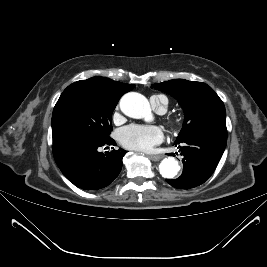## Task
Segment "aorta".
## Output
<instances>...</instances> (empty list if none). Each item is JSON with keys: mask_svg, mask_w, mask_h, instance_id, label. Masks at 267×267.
Instances as JSON below:
<instances>
[{"mask_svg": "<svg viewBox=\"0 0 267 267\" xmlns=\"http://www.w3.org/2000/svg\"><path fill=\"white\" fill-rule=\"evenodd\" d=\"M120 109L128 117L141 119L150 114V104L143 95L131 92L125 94L120 100ZM180 166L174 158H164L159 165V172L164 178H174Z\"/></svg>", "mask_w": 267, "mask_h": 267, "instance_id": "1", "label": "aorta"}]
</instances>
